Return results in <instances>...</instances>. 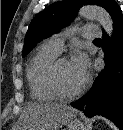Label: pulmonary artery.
Returning <instances> with one entry per match:
<instances>
[{
    "label": "pulmonary artery",
    "mask_w": 123,
    "mask_h": 130,
    "mask_svg": "<svg viewBox=\"0 0 123 130\" xmlns=\"http://www.w3.org/2000/svg\"><path fill=\"white\" fill-rule=\"evenodd\" d=\"M101 30L94 24H87L81 28V35L86 39H96L101 36ZM66 34H58L46 41V43L57 52H61L63 49Z\"/></svg>",
    "instance_id": "obj_1"
}]
</instances>
